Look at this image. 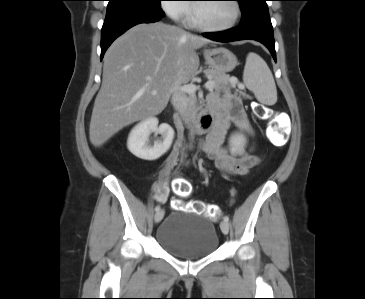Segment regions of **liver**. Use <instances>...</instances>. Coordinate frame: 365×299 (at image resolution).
Returning a JSON list of instances; mask_svg holds the SVG:
<instances>
[{"instance_id": "1", "label": "liver", "mask_w": 365, "mask_h": 299, "mask_svg": "<svg viewBox=\"0 0 365 299\" xmlns=\"http://www.w3.org/2000/svg\"><path fill=\"white\" fill-rule=\"evenodd\" d=\"M208 43L162 22L139 24L117 38L104 56L90 142L100 147L124 127L160 114L174 90L196 75L200 61L195 50Z\"/></svg>"}]
</instances>
